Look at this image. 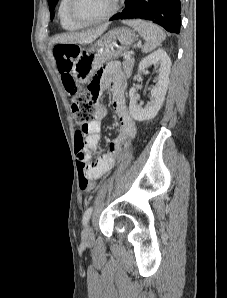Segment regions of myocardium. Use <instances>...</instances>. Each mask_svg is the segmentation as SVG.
<instances>
[{
  "label": "myocardium",
  "instance_id": "obj_1",
  "mask_svg": "<svg viewBox=\"0 0 227 298\" xmlns=\"http://www.w3.org/2000/svg\"><path fill=\"white\" fill-rule=\"evenodd\" d=\"M74 1L75 0H68L67 14H68L69 18L75 24H77L79 26H91V25H95V24L105 22V21H107L108 19H110L112 16H114L116 14V12L118 11L119 6H120V0H113L111 8L103 16H101L97 19H94V20H81L78 17H76V15L73 12Z\"/></svg>",
  "mask_w": 227,
  "mask_h": 298
}]
</instances>
